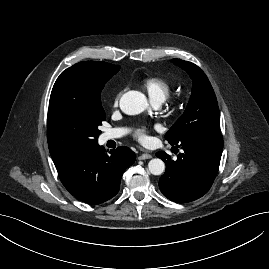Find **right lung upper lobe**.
Returning a JSON list of instances; mask_svg holds the SVG:
<instances>
[{"mask_svg": "<svg viewBox=\"0 0 269 269\" xmlns=\"http://www.w3.org/2000/svg\"><path fill=\"white\" fill-rule=\"evenodd\" d=\"M84 62H86L87 64L101 67L105 72H110V73L115 72L114 74H116L119 71V70L117 71V69L120 68V66L112 65L106 62H96V61H84ZM68 89L71 93H76L79 90L89 93L91 90L95 89V82L92 79L83 80L82 82L69 85Z\"/></svg>", "mask_w": 269, "mask_h": 269, "instance_id": "right-lung-upper-lobe-1", "label": "right lung upper lobe"}]
</instances>
